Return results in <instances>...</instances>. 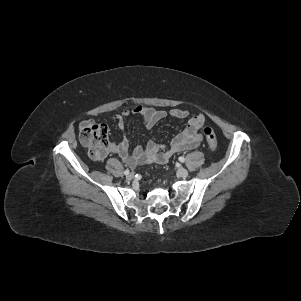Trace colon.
Returning a JSON list of instances; mask_svg holds the SVG:
<instances>
[{"label":"colon","mask_w":301,"mask_h":301,"mask_svg":"<svg viewBox=\"0 0 301 301\" xmlns=\"http://www.w3.org/2000/svg\"><path fill=\"white\" fill-rule=\"evenodd\" d=\"M108 127L106 124L87 121L81 126L80 139L87 147L89 156L98 160L103 158L108 151ZM203 134L211 150L217 148V138L211 127H204Z\"/></svg>","instance_id":"5ec220e1"}]
</instances>
